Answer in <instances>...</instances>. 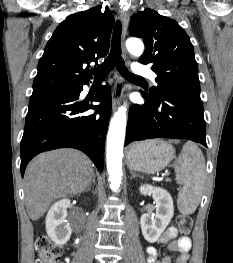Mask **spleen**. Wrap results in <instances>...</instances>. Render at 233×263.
Masks as SVG:
<instances>
[{"instance_id":"1","label":"spleen","mask_w":233,"mask_h":263,"mask_svg":"<svg viewBox=\"0 0 233 263\" xmlns=\"http://www.w3.org/2000/svg\"><path fill=\"white\" fill-rule=\"evenodd\" d=\"M178 143V140H170ZM177 182L182 185L177 206L182 214L189 215L197 209L206 179L205 158L194 142H186L181 154L173 164Z\"/></svg>"}]
</instances>
